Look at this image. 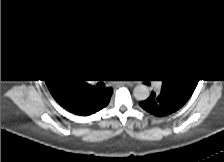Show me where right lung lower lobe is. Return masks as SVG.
Instances as JSON below:
<instances>
[{
	"instance_id": "98d812e1",
	"label": "right lung lower lobe",
	"mask_w": 224,
	"mask_h": 162,
	"mask_svg": "<svg viewBox=\"0 0 224 162\" xmlns=\"http://www.w3.org/2000/svg\"><path fill=\"white\" fill-rule=\"evenodd\" d=\"M111 94H112V92H110V94H108V95L102 100V102L97 106L96 110L93 111V112L90 113V114H93V113H95V112L101 110L102 108H104V107L109 103ZM90 114H83V116H87V115H90Z\"/></svg>"
}]
</instances>
